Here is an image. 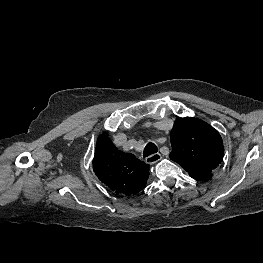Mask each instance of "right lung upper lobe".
Returning <instances> with one entry per match:
<instances>
[{
    "label": "right lung upper lobe",
    "mask_w": 263,
    "mask_h": 263,
    "mask_svg": "<svg viewBox=\"0 0 263 263\" xmlns=\"http://www.w3.org/2000/svg\"><path fill=\"white\" fill-rule=\"evenodd\" d=\"M93 171L116 194L138 193L145 187L149 177V165L131 153L118 150L107 132L97 140Z\"/></svg>",
    "instance_id": "obj_1"
}]
</instances>
